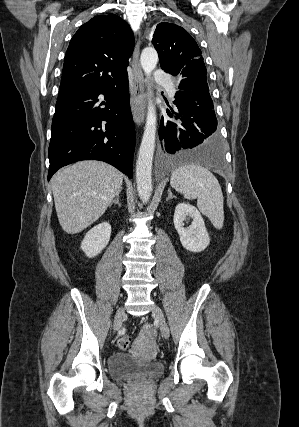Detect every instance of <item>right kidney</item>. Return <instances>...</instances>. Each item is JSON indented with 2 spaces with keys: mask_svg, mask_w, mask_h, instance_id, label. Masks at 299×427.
Returning a JSON list of instances; mask_svg holds the SVG:
<instances>
[{
  "mask_svg": "<svg viewBox=\"0 0 299 427\" xmlns=\"http://www.w3.org/2000/svg\"><path fill=\"white\" fill-rule=\"evenodd\" d=\"M111 235V225L108 222H102L85 235L81 249L89 258L98 255L109 243Z\"/></svg>",
  "mask_w": 299,
  "mask_h": 427,
  "instance_id": "1",
  "label": "right kidney"
}]
</instances>
